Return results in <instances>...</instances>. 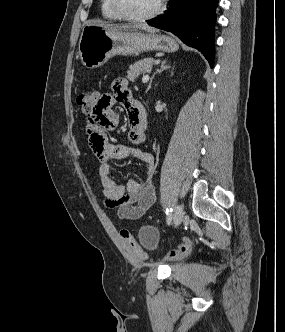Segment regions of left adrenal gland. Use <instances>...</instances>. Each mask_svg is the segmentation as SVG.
I'll return each mask as SVG.
<instances>
[{
  "mask_svg": "<svg viewBox=\"0 0 285 332\" xmlns=\"http://www.w3.org/2000/svg\"><path fill=\"white\" fill-rule=\"evenodd\" d=\"M166 63H167V59L163 60V61L161 62V65H160V69H157V70L154 72V74H153L152 77L150 78V81H149V84H148L147 91L151 88V84H152V81H153L155 75H156L157 73H161L162 71L167 70V69L170 68V66L167 65Z\"/></svg>",
  "mask_w": 285,
  "mask_h": 332,
  "instance_id": "1",
  "label": "left adrenal gland"
}]
</instances>
